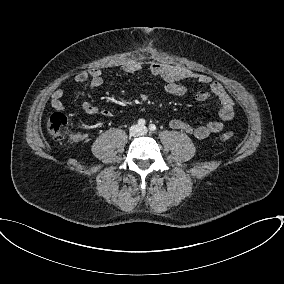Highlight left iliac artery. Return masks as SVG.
<instances>
[{
	"label": "left iliac artery",
	"mask_w": 284,
	"mask_h": 284,
	"mask_svg": "<svg viewBox=\"0 0 284 284\" xmlns=\"http://www.w3.org/2000/svg\"><path fill=\"white\" fill-rule=\"evenodd\" d=\"M149 130H150L151 132L155 131V130H156V126H155L154 124H150V125H149Z\"/></svg>",
	"instance_id": "44dca946"
}]
</instances>
